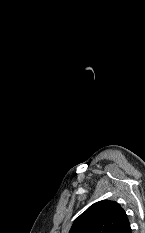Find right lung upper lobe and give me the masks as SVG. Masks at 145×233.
Instances as JSON below:
<instances>
[{"label": "right lung upper lobe", "mask_w": 145, "mask_h": 233, "mask_svg": "<svg viewBox=\"0 0 145 233\" xmlns=\"http://www.w3.org/2000/svg\"><path fill=\"white\" fill-rule=\"evenodd\" d=\"M69 233H131L122 207L110 200L91 205L73 223Z\"/></svg>", "instance_id": "1"}]
</instances>
